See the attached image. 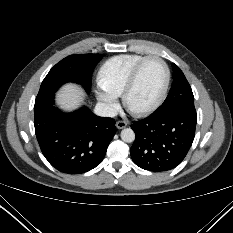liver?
<instances>
[{
	"mask_svg": "<svg viewBox=\"0 0 233 233\" xmlns=\"http://www.w3.org/2000/svg\"><path fill=\"white\" fill-rule=\"evenodd\" d=\"M84 98L83 90L75 84H66L56 95V103L64 111L77 109Z\"/></svg>",
	"mask_w": 233,
	"mask_h": 233,
	"instance_id": "6515ba94",
	"label": "liver"
}]
</instances>
